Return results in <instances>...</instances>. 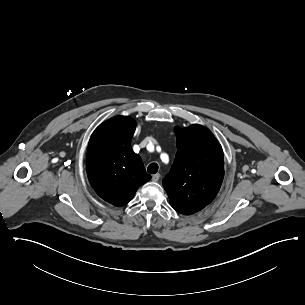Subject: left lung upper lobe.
I'll use <instances>...</instances> for the list:
<instances>
[{"instance_id": "5c2ea615", "label": "left lung upper lobe", "mask_w": 305, "mask_h": 305, "mask_svg": "<svg viewBox=\"0 0 305 305\" xmlns=\"http://www.w3.org/2000/svg\"><path fill=\"white\" fill-rule=\"evenodd\" d=\"M175 133L178 151L163 186L171 206L189 215L216 197L224 177L223 151L212 132L201 125L175 127Z\"/></svg>"}]
</instances>
